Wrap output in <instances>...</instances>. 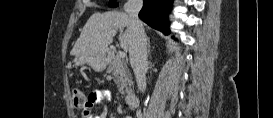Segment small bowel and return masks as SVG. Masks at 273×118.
I'll use <instances>...</instances> for the list:
<instances>
[{"instance_id": "obj_1", "label": "small bowel", "mask_w": 273, "mask_h": 118, "mask_svg": "<svg viewBox=\"0 0 273 118\" xmlns=\"http://www.w3.org/2000/svg\"><path fill=\"white\" fill-rule=\"evenodd\" d=\"M110 98V93L103 90H97L91 93L87 98V105L82 109L83 118H93V108L98 106L101 108V112L98 115V118H105V101Z\"/></svg>"}]
</instances>
